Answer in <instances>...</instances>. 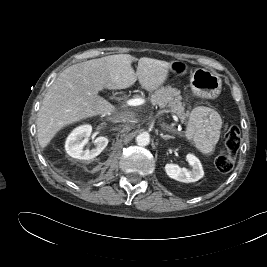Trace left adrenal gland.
Masks as SVG:
<instances>
[{
	"instance_id": "obj_1",
	"label": "left adrenal gland",
	"mask_w": 267,
	"mask_h": 267,
	"mask_svg": "<svg viewBox=\"0 0 267 267\" xmlns=\"http://www.w3.org/2000/svg\"><path fill=\"white\" fill-rule=\"evenodd\" d=\"M162 127H163V129H164L165 131H168V132H173V131H174V130H173L171 127H169V126H165V125H163ZM160 136H161L164 140H168V139L174 138V136H171V135H163V134H160Z\"/></svg>"
}]
</instances>
